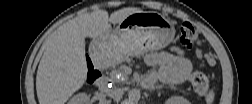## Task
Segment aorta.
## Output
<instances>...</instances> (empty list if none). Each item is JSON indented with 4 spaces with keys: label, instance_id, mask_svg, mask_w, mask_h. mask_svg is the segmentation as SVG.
I'll return each mask as SVG.
<instances>
[{
    "label": "aorta",
    "instance_id": "obj_1",
    "mask_svg": "<svg viewBox=\"0 0 252 104\" xmlns=\"http://www.w3.org/2000/svg\"><path fill=\"white\" fill-rule=\"evenodd\" d=\"M128 98L131 102H138L141 98V93L139 89H131L128 92Z\"/></svg>",
    "mask_w": 252,
    "mask_h": 104
}]
</instances>
